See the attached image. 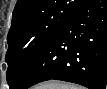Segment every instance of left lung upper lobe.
<instances>
[{
	"mask_svg": "<svg viewBox=\"0 0 107 89\" xmlns=\"http://www.w3.org/2000/svg\"><path fill=\"white\" fill-rule=\"evenodd\" d=\"M86 0H18L8 33L5 61L10 89L30 66L59 27Z\"/></svg>",
	"mask_w": 107,
	"mask_h": 89,
	"instance_id": "1",
	"label": "left lung upper lobe"
}]
</instances>
